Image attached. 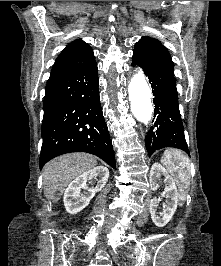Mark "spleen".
Here are the masks:
<instances>
[{
	"label": "spleen",
	"mask_w": 221,
	"mask_h": 266,
	"mask_svg": "<svg viewBox=\"0 0 221 266\" xmlns=\"http://www.w3.org/2000/svg\"><path fill=\"white\" fill-rule=\"evenodd\" d=\"M161 163L174 176L179 188L181 200H186V194L190 187L191 164L189 157L178 149H166Z\"/></svg>",
	"instance_id": "3e777b00"
}]
</instances>
